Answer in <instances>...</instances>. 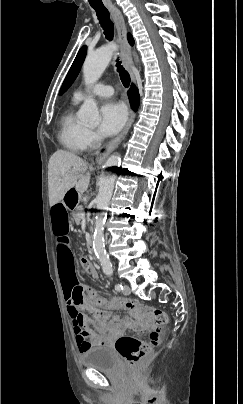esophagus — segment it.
Segmentation results:
<instances>
[{
    "label": "esophagus",
    "instance_id": "obj_1",
    "mask_svg": "<svg viewBox=\"0 0 243 404\" xmlns=\"http://www.w3.org/2000/svg\"><path fill=\"white\" fill-rule=\"evenodd\" d=\"M112 18L114 20L115 26H116V30H117V41L121 46V57L123 60V63L125 65V67L127 68V70L129 71L132 81L133 83L136 82V72L133 69V63H132V59L130 57V52H129V47H128V42H127V27L125 25V20L123 18L122 13L120 12V10L114 6L108 7ZM135 119V113L131 112L129 119L123 129V131L121 132V134L116 137L114 140H112L111 142H109L108 146H107V150L110 151L112 149H114L120 142L122 139H124V137L127 135L132 123L134 122ZM98 163H102V159L98 160Z\"/></svg>",
    "mask_w": 243,
    "mask_h": 404
}]
</instances>
